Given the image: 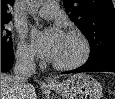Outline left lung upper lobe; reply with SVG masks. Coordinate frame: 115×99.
Returning <instances> with one entry per match:
<instances>
[{"label": "left lung upper lobe", "instance_id": "obj_1", "mask_svg": "<svg viewBox=\"0 0 115 99\" xmlns=\"http://www.w3.org/2000/svg\"><path fill=\"white\" fill-rule=\"evenodd\" d=\"M65 10L90 44L88 61L115 55V8L111 0H63Z\"/></svg>", "mask_w": 115, "mask_h": 99}]
</instances>
